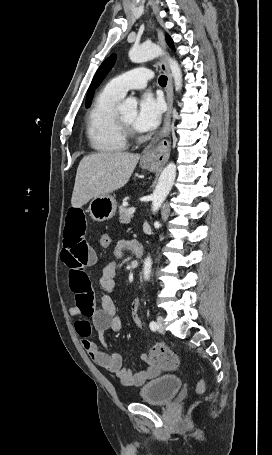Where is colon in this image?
<instances>
[{
    "label": "colon",
    "instance_id": "colon-1",
    "mask_svg": "<svg viewBox=\"0 0 272 455\" xmlns=\"http://www.w3.org/2000/svg\"><path fill=\"white\" fill-rule=\"evenodd\" d=\"M99 244L102 248H108L111 244V237L107 232H103L99 238ZM149 359L160 365L164 369L173 370L179 366L178 356L164 345H156L149 351ZM204 381H199L197 391L199 393L204 391Z\"/></svg>",
    "mask_w": 272,
    "mask_h": 455
}]
</instances>
